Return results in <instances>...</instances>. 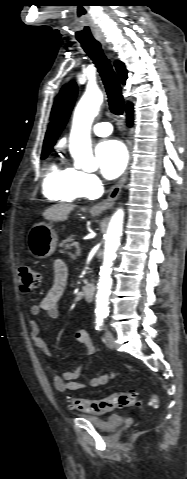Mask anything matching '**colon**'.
<instances>
[{
  "label": "colon",
  "mask_w": 187,
  "mask_h": 479,
  "mask_svg": "<svg viewBox=\"0 0 187 479\" xmlns=\"http://www.w3.org/2000/svg\"><path fill=\"white\" fill-rule=\"evenodd\" d=\"M18 277L20 289L23 292H30L40 284V273L26 263L18 266ZM139 403L136 391L115 392L102 399H81L77 397L70 398V406L80 412L105 414L115 408L129 407ZM152 406L158 405V398L152 395L150 398Z\"/></svg>",
  "instance_id": "5ec220e1"
}]
</instances>
